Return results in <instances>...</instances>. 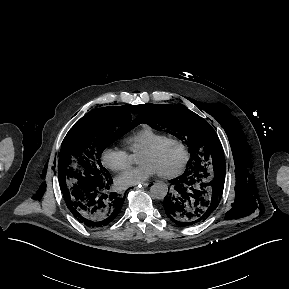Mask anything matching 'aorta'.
I'll list each match as a JSON object with an SVG mask.
<instances>
[{"label":"aorta","mask_w":289,"mask_h":289,"mask_svg":"<svg viewBox=\"0 0 289 289\" xmlns=\"http://www.w3.org/2000/svg\"><path fill=\"white\" fill-rule=\"evenodd\" d=\"M168 193V186L162 181L154 183L150 188V195L154 199H164Z\"/></svg>","instance_id":"762f6f07"}]
</instances>
